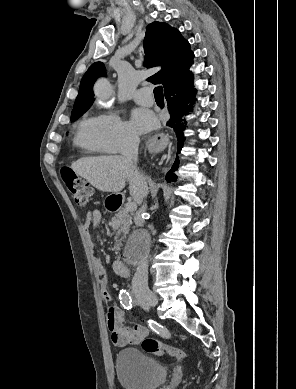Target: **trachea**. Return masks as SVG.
<instances>
[{
  "mask_svg": "<svg viewBox=\"0 0 296 389\" xmlns=\"http://www.w3.org/2000/svg\"><path fill=\"white\" fill-rule=\"evenodd\" d=\"M154 96L156 100H164V95H163V88L162 86H157L154 89Z\"/></svg>",
  "mask_w": 296,
  "mask_h": 389,
  "instance_id": "trachea-1",
  "label": "trachea"
}]
</instances>
